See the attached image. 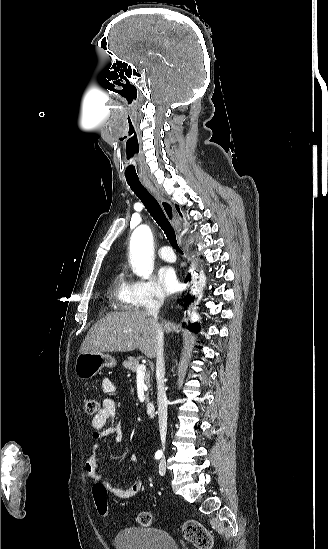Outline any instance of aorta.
<instances>
[{
	"instance_id": "762f6f07",
	"label": "aorta",
	"mask_w": 328,
	"mask_h": 549,
	"mask_svg": "<svg viewBox=\"0 0 328 549\" xmlns=\"http://www.w3.org/2000/svg\"><path fill=\"white\" fill-rule=\"evenodd\" d=\"M131 262L137 275L148 279L153 271L152 234L146 225L136 228L130 240Z\"/></svg>"
}]
</instances>
